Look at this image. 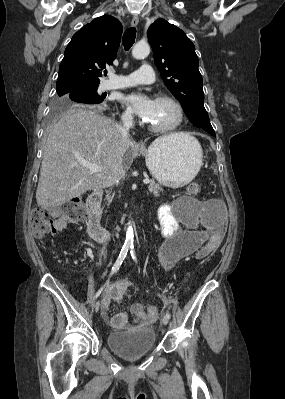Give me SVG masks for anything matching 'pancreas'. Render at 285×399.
<instances>
[{"label": "pancreas", "instance_id": "obj_1", "mask_svg": "<svg viewBox=\"0 0 285 399\" xmlns=\"http://www.w3.org/2000/svg\"><path fill=\"white\" fill-rule=\"evenodd\" d=\"M149 192L152 193L154 196H158L160 192L163 191L162 187L156 183L155 181H151L149 186H148ZM113 195H108L106 197V200L108 203L112 202Z\"/></svg>", "mask_w": 285, "mask_h": 399}]
</instances>
